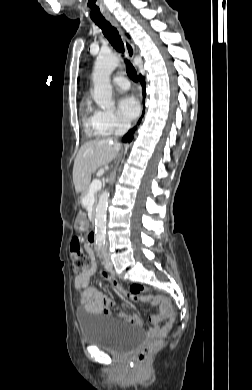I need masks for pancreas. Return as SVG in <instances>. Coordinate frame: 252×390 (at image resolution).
<instances>
[{
    "instance_id": "obj_1",
    "label": "pancreas",
    "mask_w": 252,
    "mask_h": 390,
    "mask_svg": "<svg viewBox=\"0 0 252 390\" xmlns=\"http://www.w3.org/2000/svg\"><path fill=\"white\" fill-rule=\"evenodd\" d=\"M83 198H84V195H83ZM80 205H84V202H80Z\"/></svg>"
}]
</instances>
